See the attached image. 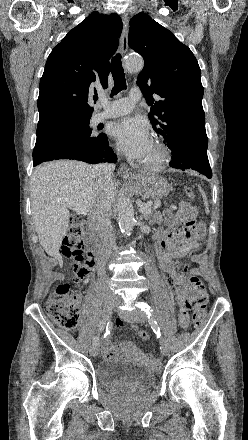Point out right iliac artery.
I'll list each match as a JSON object with an SVG mask.
<instances>
[{
    "label": "right iliac artery",
    "instance_id": "obj_1",
    "mask_svg": "<svg viewBox=\"0 0 248 440\" xmlns=\"http://www.w3.org/2000/svg\"><path fill=\"white\" fill-rule=\"evenodd\" d=\"M105 325H106V321L104 319L100 320L98 323V331L104 330ZM106 331H107V327H106ZM98 344H99V336H96L93 339V345H98Z\"/></svg>",
    "mask_w": 248,
    "mask_h": 440
}]
</instances>
